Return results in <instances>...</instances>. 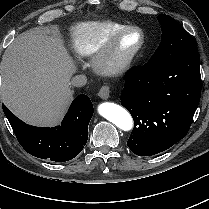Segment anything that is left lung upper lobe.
<instances>
[{"label":"left lung upper lobe","instance_id":"5c2ea615","mask_svg":"<svg viewBox=\"0 0 209 209\" xmlns=\"http://www.w3.org/2000/svg\"><path fill=\"white\" fill-rule=\"evenodd\" d=\"M158 20L162 29L161 43L146 64L165 65L198 52L191 35L175 19L168 15H160Z\"/></svg>","mask_w":209,"mask_h":209}]
</instances>
